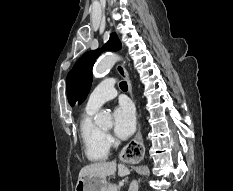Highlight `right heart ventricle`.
I'll use <instances>...</instances> for the list:
<instances>
[{
	"label": "right heart ventricle",
	"mask_w": 233,
	"mask_h": 191,
	"mask_svg": "<svg viewBox=\"0 0 233 191\" xmlns=\"http://www.w3.org/2000/svg\"><path fill=\"white\" fill-rule=\"evenodd\" d=\"M94 114L95 111H85L80 121L79 132L87 159L100 162L107 159L109 146L105 140V133L94 124Z\"/></svg>",
	"instance_id": "right-heart-ventricle-1"
}]
</instances>
